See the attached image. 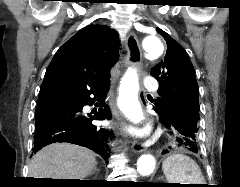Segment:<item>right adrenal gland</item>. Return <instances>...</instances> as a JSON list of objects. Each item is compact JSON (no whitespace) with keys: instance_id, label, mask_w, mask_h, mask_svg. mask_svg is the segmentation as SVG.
Returning a JSON list of instances; mask_svg holds the SVG:
<instances>
[{"instance_id":"2a0ac1e0","label":"right adrenal gland","mask_w":240,"mask_h":187,"mask_svg":"<svg viewBox=\"0 0 240 187\" xmlns=\"http://www.w3.org/2000/svg\"><path fill=\"white\" fill-rule=\"evenodd\" d=\"M95 172H99V169H97L96 167L93 170V173H95Z\"/></svg>"}]
</instances>
